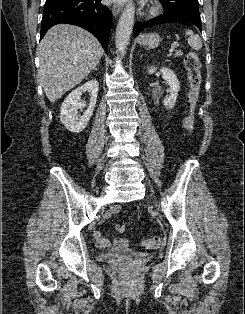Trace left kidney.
I'll return each mask as SVG.
<instances>
[{
  "instance_id": "left-kidney-1",
  "label": "left kidney",
  "mask_w": 245,
  "mask_h": 314,
  "mask_svg": "<svg viewBox=\"0 0 245 314\" xmlns=\"http://www.w3.org/2000/svg\"><path fill=\"white\" fill-rule=\"evenodd\" d=\"M156 70V67H148V74H153ZM160 72L170 87V96L164 100V106L166 109H172L177 100L178 92L180 90V83L177 79V76L171 69L163 67L160 69Z\"/></svg>"
}]
</instances>
